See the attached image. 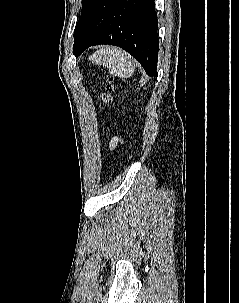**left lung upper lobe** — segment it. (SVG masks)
<instances>
[{"mask_svg": "<svg viewBox=\"0 0 239 303\" xmlns=\"http://www.w3.org/2000/svg\"><path fill=\"white\" fill-rule=\"evenodd\" d=\"M117 0H82V12L74 30V54L79 55L80 45L93 31Z\"/></svg>", "mask_w": 239, "mask_h": 303, "instance_id": "1", "label": "left lung upper lobe"}]
</instances>
